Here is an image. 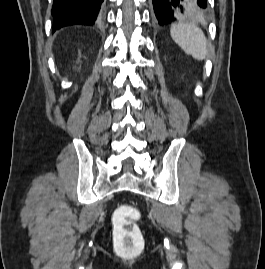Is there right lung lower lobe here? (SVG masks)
I'll use <instances>...</instances> for the list:
<instances>
[{"label":"right lung lower lobe","instance_id":"1","mask_svg":"<svg viewBox=\"0 0 265 269\" xmlns=\"http://www.w3.org/2000/svg\"><path fill=\"white\" fill-rule=\"evenodd\" d=\"M104 0H54L53 28L56 30L75 24H94Z\"/></svg>","mask_w":265,"mask_h":269}]
</instances>
